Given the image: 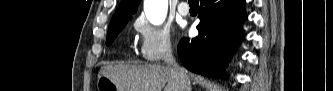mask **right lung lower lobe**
Here are the masks:
<instances>
[{
	"mask_svg": "<svg viewBox=\"0 0 333 91\" xmlns=\"http://www.w3.org/2000/svg\"><path fill=\"white\" fill-rule=\"evenodd\" d=\"M245 0H200L199 35L183 38L177 50L183 65L205 76L222 77L242 37Z\"/></svg>",
	"mask_w": 333,
	"mask_h": 91,
	"instance_id": "98d812e1",
	"label": "right lung lower lobe"
}]
</instances>
